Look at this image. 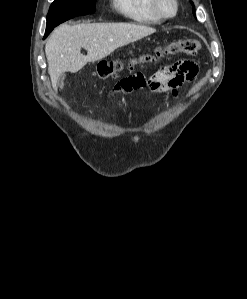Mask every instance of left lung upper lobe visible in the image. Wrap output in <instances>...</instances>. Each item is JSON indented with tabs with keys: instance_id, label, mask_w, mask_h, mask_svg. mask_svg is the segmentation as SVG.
Segmentation results:
<instances>
[{
	"instance_id": "obj_1",
	"label": "left lung upper lobe",
	"mask_w": 247,
	"mask_h": 299,
	"mask_svg": "<svg viewBox=\"0 0 247 299\" xmlns=\"http://www.w3.org/2000/svg\"><path fill=\"white\" fill-rule=\"evenodd\" d=\"M191 4L194 6L193 2H191ZM193 15H195V9H193Z\"/></svg>"
}]
</instances>
